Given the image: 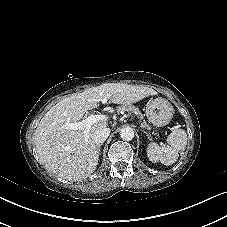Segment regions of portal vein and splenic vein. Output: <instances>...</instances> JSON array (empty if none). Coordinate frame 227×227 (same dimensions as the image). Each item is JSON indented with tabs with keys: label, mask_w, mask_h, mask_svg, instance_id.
<instances>
[{
	"label": "portal vein and splenic vein",
	"mask_w": 227,
	"mask_h": 227,
	"mask_svg": "<svg viewBox=\"0 0 227 227\" xmlns=\"http://www.w3.org/2000/svg\"><path fill=\"white\" fill-rule=\"evenodd\" d=\"M106 120H107V117L104 115L92 114L80 122L67 123L65 126H66V128L73 129V130H78V129L88 130L93 124H95L99 121H106Z\"/></svg>",
	"instance_id": "18ae733b"
}]
</instances>
